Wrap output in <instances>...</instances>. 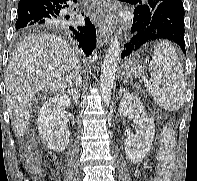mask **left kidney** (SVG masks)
Wrapping results in <instances>:
<instances>
[{
    "label": "left kidney",
    "instance_id": "5707ae66",
    "mask_svg": "<svg viewBox=\"0 0 197 181\" xmlns=\"http://www.w3.org/2000/svg\"><path fill=\"white\" fill-rule=\"evenodd\" d=\"M118 110L121 117L136 118V134L126 139L125 154L134 163L142 162L150 151L155 136L154 120L147 116L142 102L132 93L124 95Z\"/></svg>",
    "mask_w": 197,
    "mask_h": 181
}]
</instances>
